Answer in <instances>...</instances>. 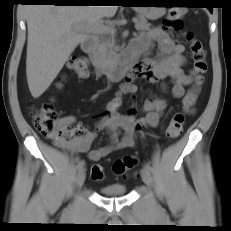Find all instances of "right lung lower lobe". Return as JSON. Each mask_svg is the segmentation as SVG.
Segmentation results:
<instances>
[{"label": "right lung lower lobe", "instance_id": "1", "mask_svg": "<svg viewBox=\"0 0 231 231\" xmlns=\"http://www.w3.org/2000/svg\"><path fill=\"white\" fill-rule=\"evenodd\" d=\"M29 3H51L54 5H84L83 0H25Z\"/></svg>", "mask_w": 231, "mask_h": 231}]
</instances>
